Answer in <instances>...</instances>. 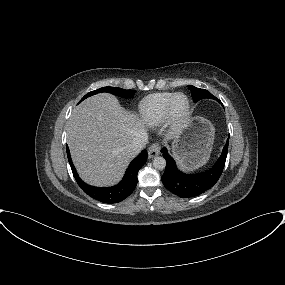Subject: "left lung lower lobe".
<instances>
[{"label":"left lung lower lobe","mask_w":285,"mask_h":285,"mask_svg":"<svg viewBox=\"0 0 285 285\" xmlns=\"http://www.w3.org/2000/svg\"><path fill=\"white\" fill-rule=\"evenodd\" d=\"M229 138L223 148L222 154L216 164L209 170L199 174H185L177 167L174 159L168 154L166 148L161 152L166 159V168L162 176L163 185L181 198L198 196L210 189L220 178L228 152Z\"/></svg>","instance_id":"left-lung-lower-lobe-1"}]
</instances>
